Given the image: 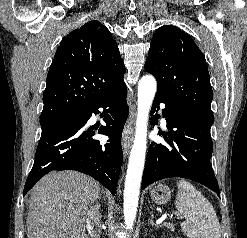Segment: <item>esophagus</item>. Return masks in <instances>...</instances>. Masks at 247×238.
Masks as SVG:
<instances>
[{
	"label": "esophagus",
	"mask_w": 247,
	"mask_h": 238,
	"mask_svg": "<svg viewBox=\"0 0 247 238\" xmlns=\"http://www.w3.org/2000/svg\"><path fill=\"white\" fill-rule=\"evenodd\" d=\"M136 116L135 106L131 107L128 120L125 124L123 133H122V148L124 156L128 155V152L131 148L133 134H134V121Z\"/></svg>",
	"instance_id": "obj_1"
}]
</instances>
